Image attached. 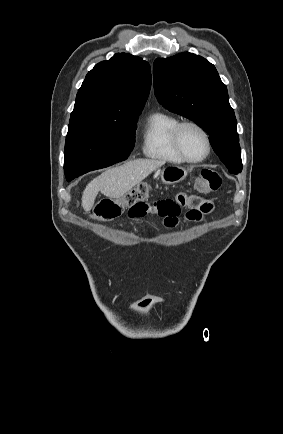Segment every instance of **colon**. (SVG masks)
Wrapping results in <instances>:
<instances>
[{"label": "colon", "instance_id": "5ec220e1", "mask_svg": "<svg viewBox=\"0 0 283 434\" xmlns=\"http://www.w3.org/2000/svg\"><path fill=\"white\" fill-rule=\"evenodd\" d=\"M222 183L223 177L219 172L204 169L200 174L198 187L204 192H214L221 187ZM148 194V185L141 183L118 199H102L95 207L94 218L100 221L115 219L120 216L124 210L146 200Z\"/></svg>", "mask_w": 283, "mask_h": 434}]
</instances>
